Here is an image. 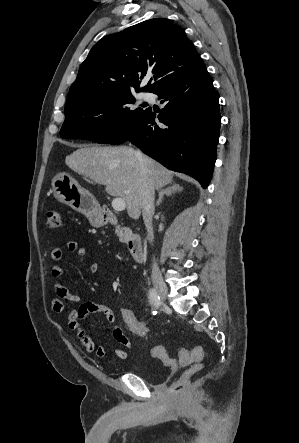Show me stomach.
Here are the masks:
<instances>
[{"label":"stomach","instance_id":"1","mask_svg":"<svg viewBox=\"0 0 299 443\" xmlns=\"http://www.w3.org/2000/svg\"><path fill=\"white\" fill-rule=\"evenodd\" d=\"M54 197L61 203L83 213L95 227L105 225L99 206L87 190L67 173H58L52 180Z\"/></svg>","mask_w":299,"mask_h":443}]
</instances>
